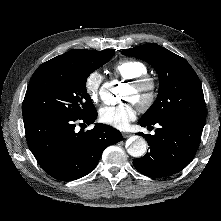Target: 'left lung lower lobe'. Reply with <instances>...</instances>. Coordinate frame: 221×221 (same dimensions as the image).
<instances>
[{"label":"left lung lower lobe","mask_w":221,"mask_h":221,"mask_svg":"<svg viewBox=\"0 0 221 221\" xmlns=\"http://www.w3.org/2000/svg\"><path fill=\"white\" fill-rule=\"evenodd\" d=\"M143 127L159 124L155 135L143 136L149 151L133 161L134 167L150 177H166L178 173L194 158L205 123L178 118H167L153 122L139 120Z\"/></svg>","instance_id":"obj_1"}]
</instances>
